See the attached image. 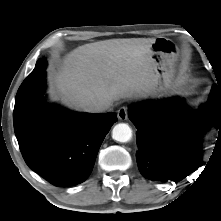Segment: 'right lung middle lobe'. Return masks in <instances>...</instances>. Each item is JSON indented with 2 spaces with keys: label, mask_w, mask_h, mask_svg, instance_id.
<instances>
[{
  "label": "right lung middle lobe",
  "mask_w": 221,
  "mask_h": 221,
  "mask_svg": "<svg viewBox=\"0 0 221 221\" xmlns=\"http://www.w3.org/2000/svg\"><path fill=\"white\" fill-rule=\"evenodd\" d=\"M40 61H45V58H43V59H39L38 61H37V63H36V66H38L39 65V62ZM30 102L31 101H29V100H27V101H23V102H21V104L18 106V108H17V111H16V113L14 114V120L16 121V122H21V121H23L25 118H26V116L28 115V113H29V109H30Z\"/></svg>",
  "instance_id": "obj_1"
}]
</instances>
